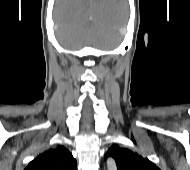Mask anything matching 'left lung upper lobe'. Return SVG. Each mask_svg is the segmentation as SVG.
I'll list each match as a JSON object with an SVG mask.
<instances>
[{
	"label": "left lung upper lobe",
	"mask_w": 190,
	"mask_h": 170,
	"mask_svg": "<svg viewBox=\"0 0 190 170\" xmlns=\"http://www.w3.org/2000/svg\"><path fill=\"white\" fill-rule=\"evenodd\" d=\"M107 157H112L115 160L117 170H160L147 158L118 145H112L108 149L105 158Z\"/></svg>",
	"instance_id": "5c2ea615"
}]
</instances>
